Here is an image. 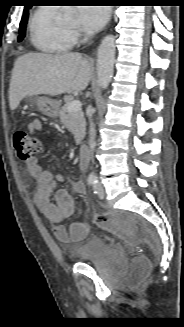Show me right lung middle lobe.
Listing matches in <instances>:
<instances>
[{
  "label": "right lung middle lobe",
  "instance_id": "dd1d6c3e",
  "mask_svg": "<svg viewBox=\"0 0 184 327\" xmlns=\"http://www.w3.org/2000/svg\"><path fill=\"white\" fill-rule=\"evenodd\" d=\"M27 20H28V12L24 13L23 16H22V20L20 22V28H19L18 41H22V39L25 36Z\"/></svg>",
  "mask_w": 184,
  "mask_h": 327
}]
</instances>
